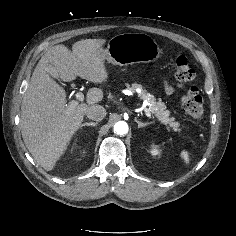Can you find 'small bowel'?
<instances>
[{"label": "small bowel", "mask_w": 236, "mask_h": 236, "mask_svg": "<svg viewBox=\"0 0 236 236\" xmlns=\"http://www.w3.org/2000/svg\"><path fill=\"white\" fill-rule=\"evenodd\" d=\"M165 90L167 94H172L175 91V89L171 85H168V84L165 86Z\"/></svg>", "instance_id": "1"}]
</instances>
